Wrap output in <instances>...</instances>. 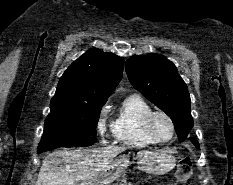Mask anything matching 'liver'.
<instances>
[{
  "instance_id": "1",
  "label": "liver",
  "mask_w": 233,
  "mask_h": 185,
  "mask_svg": "<svg viewBox=\"0 0 233 185\" xmlns=\"http://www.w3.org/2000/svg\"><path fill=\"white\" fill-rule=\"evenodd\" d=\"M125 150L121 146H107L51 153L43 160L37 185H75L91 179L108 168L114 158Z\"/></svg>"
}]
</instances>
